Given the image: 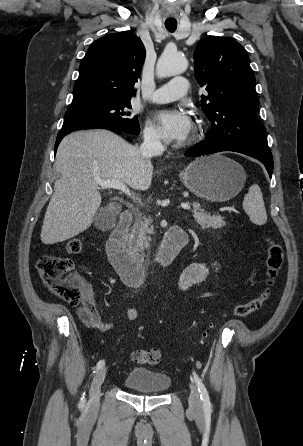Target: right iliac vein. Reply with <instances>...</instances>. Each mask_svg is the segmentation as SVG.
Here are the masks:
<instances>
[{"instance_id":"right-iliac-vein-1","label":"right iliac vein","mask_w":303,"mask_h":446,"mask_svg":"<svg viewBox=\"0 0 303 446\" xmlns=\"http://www.w3.org/2000/svg\"><path fill=\"white\" fill-rule=\"evenodd\" d=\"M106 373H107V368L106 367L101 368L92 381L89 392L90 395L89 405L90 409L93 411L96 410L98 407L100 400L101 385L104 382Z\"/></svg>"}]
</instances>
